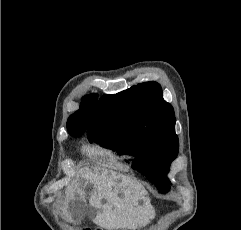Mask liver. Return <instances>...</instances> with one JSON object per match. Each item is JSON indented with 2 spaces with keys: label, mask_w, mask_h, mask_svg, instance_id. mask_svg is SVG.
I'll return each instance as SVG.
<instances>
[{
  "label": "liver",
  "mask_w": 241,
  "mask_h": 230,
  "mask_svg": "<svg viewBox=\"0 0 241 230\" xmlns=\"http://www.w3.org/2000/svg\"><path fill=\"white\" fill-rule=\"evenodd\" d=\"M85 171L87 179L93 184L89 206L91 216H95L94 223L106 230H135L153 217L147 191L140 183L104 168H86ZM74 191V188L69 189L70 199L74 198ZM80 200L84 202L85 198L81 197ZM140 201H143L142 205ZM66 217L69 222L73 221L71 213H67Z\"/></svg>",
  "instance_id": "1"
}]
</instances>
